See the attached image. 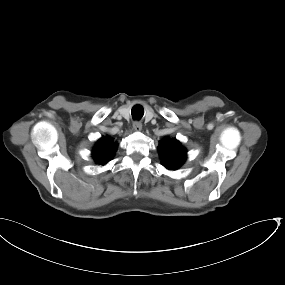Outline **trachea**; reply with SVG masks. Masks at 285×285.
I'll use <instances>...</instances> for the list:
<instances>
[{
    "instance_id": "1",
    "label": "trachea",
    "mask_w": 285,
    "mask_h": 285,
    "mask_svg": "<svg viewBox=\"0 0 285 285\" xmlns=\"http://www.w3.org/2000/svg\"><path fill=\"white\" fill-rule=\"evenodd\" d=\"M131 114H132L133 119L139 120L142 118L144 114V109L140 105H135L131 110Z\"/></svg>"
}]
</instances>
